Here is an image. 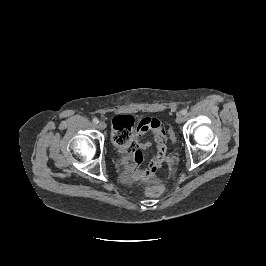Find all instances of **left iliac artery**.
Here are the masks:
<instances>
[{"label":"left iliac artery","mask_w":266,"mask_h":266,"mask_svg":"<svg viewBox=\"0 0 266 266\" xmlns=\"http://www.w3.org/2000/svg\"><path fill=\"white\" fill-rule=\"evenodd\" d=\"M181 113H182L183 115H186V114H187V109H183V110L181 111Z\"/></svg>","instance_id":"left-iliac-artery-1"}]
</instances>
